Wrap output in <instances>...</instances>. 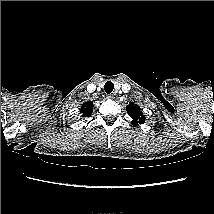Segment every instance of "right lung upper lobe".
Here are the masks:
<instances>
[{"label":"right lung upper lobe","mask_w":214,"mask_h":214,"mask_svg":"<svg viewBox=\"0 0 214 214\" xmlns=\"http://www.w3.org/2000/svg\"><path fill=\"white\" fill-rule=\"evenodd\" d=\"M92 111H93L92 102H85L80 109V113L82 114L83 117L90 116Z\"/></svg>","instance_id":"obj_1"}]
</instances>
